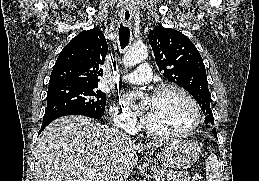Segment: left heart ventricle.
Returning <instances> with one entry per match:
<instances>
[{"mask_svg":"<svg viewBox=\"0 0 259 181\" xmlns=\"http://www.w3.org/2000/svg\"><path fill=\"white\" fill-rule=\"evenodd\" d=\"M193 113L188 102L175 91H168L152 97L143 114L145 123L159 131L184 129L192 122Z\"/></svg>","mask_w":259,"mask_h":181,"instance_id":"obj_1","label":"left heart ventricle"}]
</instances>
